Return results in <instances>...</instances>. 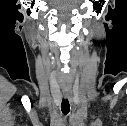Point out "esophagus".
<instances>
[{
	"instance_id": "esophagus-1",
	"label": "esophagus",
	"mask_w": 127,
	"mask_h": 126,
	"mask_svg": "<svg viewBox=\"0 0 127 126\" xmlns=\"http://www.w3.org/2000/svg\"><path fill=\"white\" fill-rule=\"evenodd\" d=\"M63 95L65 98L69 99L72 102L71 92L70 91H63Z\"/></svg>"
}]
</instances>
